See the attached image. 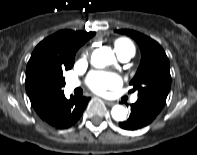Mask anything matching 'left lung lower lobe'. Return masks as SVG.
I'll return each instance as SVG.
<instances>
[{"mask_svg":"<svg viewBox=\"0 0 197 155\" xmlns=\"http://www.w3.org/2000/svg\"><path fill=\"white\" fill-rule=\"evenodd\" d=\"M130 117L127 121L120 122L119 126L126 130L140 129L151 123L159 114L161 109L145 102L137 100L131 105Z\"/></svg>","mask_w":197,"mask_h":155,"instance_id":"0a47b994","label":"left lung lower lobe"}]
</instances>
